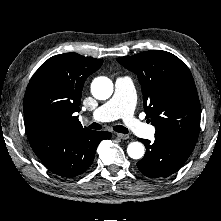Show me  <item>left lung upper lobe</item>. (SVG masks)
Here are the masks:
<instances>
[{
    "label": "left lung upper lobe",
    "mask_w": 221,
    "mask_h": 221,
    "mask_svg": "<svg viewBox=\"0 0 221 221\" xmlns=\"http://www.w3.org/2000/svg\"><path fill=\"white\" fill-rule=\"evenodd\" d=\"M137 74L142 87L144 111L155 134H173L196 142L201 107L187 66L175 55L161 50L117 58Z\"/></svg>",
    "instance_id": "5c2ea615"
}]
</instances>
